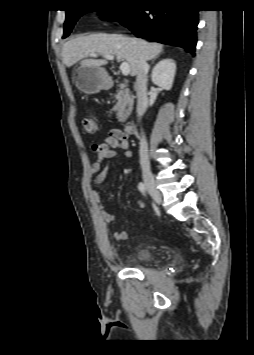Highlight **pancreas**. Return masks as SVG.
Instances as JSON below:
<instances>
[{
	"mask_svg": "<svg viewBox=\"0 0 254 355\" xmlns=\"http://www.w3.org/2000/svg\"><path fill=\"white\" fill-rule=\"evenodd\" d=\"M119 87L120 90L115 96L117 103L114 106V110L117 112L118 121L125 122L132 111L134 96L131 95L129 89L124 84H120Z\"/></svg>",
	"mask_w": 254,
	"mask_h": 355,
	"instance_id": "1",
	"label": "pancreas"
}]
</instances>
